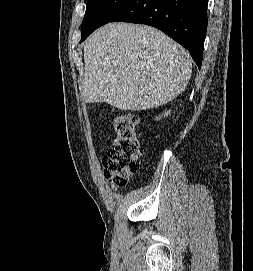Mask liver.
<instances>
[{"label": "liver", "instance_id": "6515ba94", "mask_svg": "<svg viewBox=\"0 0 253 271\" xmlns=\"http://www.w3.org/2000/svg\"><path fill=\"white\" fill-rule=\"evenodd\" d=\"M83 99L140 111L164 105L187 86V51L146 25L108 23L84 43Z\"/></svg>", "mask_w": 253, "mask_h": 271}]
</instances>
